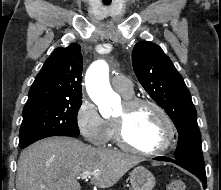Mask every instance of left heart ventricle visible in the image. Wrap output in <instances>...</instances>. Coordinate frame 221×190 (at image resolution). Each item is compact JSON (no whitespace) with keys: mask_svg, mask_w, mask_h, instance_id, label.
Listing matches in <instances>:
<instances>
[{"mask_svg":"<svg viewBox=\"0 0 221 190\" xmlns=\"http://www.w3.org/2000/svg\"><path fill=\"white\" fill-rule=\"evenodd\" d=\"M124 105L117 110L115 117L124 114ZM126 132L129 141L140 149L159 147L165 138L166 128L159 113L152 107L142 105L127 116Z\"/></svg>","mask_w":221,"mask_h":190,"instance_id":"obj_1","label":"left heart ventricle"}]
</instances>
